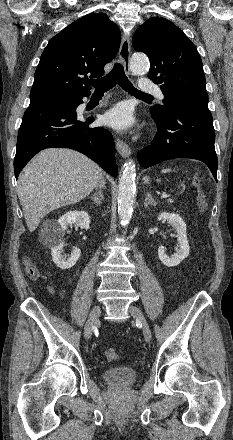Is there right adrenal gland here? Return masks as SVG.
I'll return each instance as SVG.
<instances>
[{"label":"right adrenal gland","instance_id":"1","mask_svg":"<svg viewBox=\"0 0 233 440\" xmlns=\"http://www.w3.org/2000/svg\"><path fill=\"white\" fill-rule=\"evenodd\" d=\"M89 199L93 200L94 203L99 206L102 203L103 195L100 190H98L93 196L89 197Z\"/></svg>","mask_w":233,"mask_h":440}]
</instances>
